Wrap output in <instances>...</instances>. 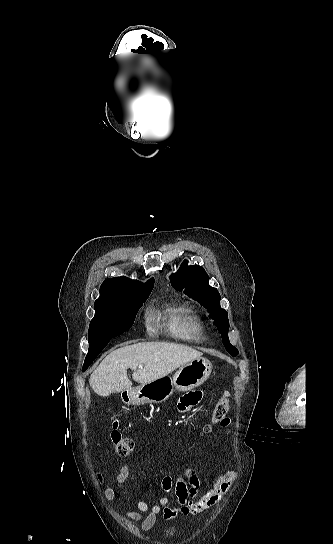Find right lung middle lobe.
<instances>
[{
  "mask_svg": "<svg viewBox=\"0 0 333 544\" xmlns=\"http://www.w3.org/2000/svg\"><path fill=\"white\" fill-rule=\"evenodd\" d=\"M151 291L129 298L95 302V315L88 332L89 350L83 367H88L113 337L133 325L138 310Z\"/></svg>",
  "mask_w": 333,
  "mask_h": 544,
  "instance_id": "dd1d6c3e",
  "label": "right lung middle lobe"
}]
</instances>
